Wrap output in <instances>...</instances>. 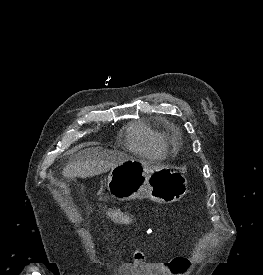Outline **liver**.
I'll return each mask as SVG.
<instances>
[{
	"label": "liver",
	"mask_w": 263,
	"mask_h": 275,
	"mask_svg": "<svg viewBox=\"0 0 263 275\" xmlns=\"http://www.w3.org/2000/svg\"><path fill=\"white\" fill-rule=\"evenodd\" d=\"M90 151L83 152L77 160L67 164L62 172L68 178H87L105 173L121 162L131 158L125 153L116 151H105L99 157H90Z\"/></svg>",
	"instance_id": "liver-1"
}]
</instances>
